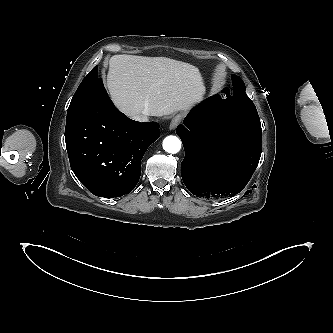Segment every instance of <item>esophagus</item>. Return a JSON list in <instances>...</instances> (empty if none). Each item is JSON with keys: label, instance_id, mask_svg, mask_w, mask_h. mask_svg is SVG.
I'll list each match as a JSON object with an SVG mask.
<instances>
[{"label": "esophagus", "instance_id": "34e87169", "mask_svg": "<svg viewBox=\"0 0 333 333\" xmlns=\"http://www.w3.org/2000/svg\"><path fill=\"white\" fill-rule=\"evenodd\" d=\"M182 119L183 116L181 114H177L176 116H174L170 122L169 129L174 130L180 124Z\"/></svg>", "mask_w": 333, "mask_h": 333}]
</instances>
